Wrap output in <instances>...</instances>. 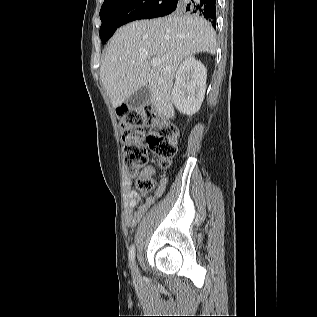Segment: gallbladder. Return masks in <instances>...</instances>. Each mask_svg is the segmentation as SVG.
<instances>
[{
    "instance_id": "gallbladder-1",
    "label": "gallbladder",
    "mask_w": 317,
    "mask_h": 317,
    "mask_svg": "<svg viewBox=\"0 0 317 317\" xmlns=\"http://www.w3.org/2000/svg\"><path fill=\"white\" fill-rule=\"evenodd\" d=\"M151 99V93L148 86L140 88L138 91L134 92L127 100V106L130 109H139L146 106Z\"/></svg>"
}]
</instances>
